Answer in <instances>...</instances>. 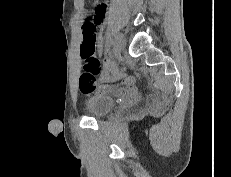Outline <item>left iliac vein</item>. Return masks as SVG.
Wrapping results in <instances>:
<instances>
[{
	"instance_id": "1",
	"label": "left iliac vein",
	"mask_w": 231,
	"mask_h": 177,
	"mask_svg": "<svg viewBox=\"0 0 231 177\" xmlns=\"http://www.w3.org/2000/svg\"><path fill=\"white\" fill-rule=\"evenodd\" d=\"M126 45L125 37L122 33H118L114 40V51L116 54H120Z\"/></svg>"
}]
</instances>
